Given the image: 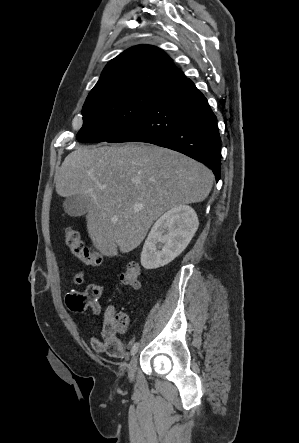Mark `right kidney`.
<instances>
[{
  "label": "right kidney",
  "instance_id": "ca27d5eb",
  "mask_svg": "<svg viewBox=\"0 0 299 443\" xmlns=\"http://www.w3.org/2000/svg\"><path fill=\"white\" fill-rule=\"evenodd\" d=\"M199 226L196 212L179 205L165 212L153 225L141 253V265L156 269L178 257L190 243Z\"/></svg>",
  "mask_w": 299,
  "mask_h": 443
}]
</instances>
